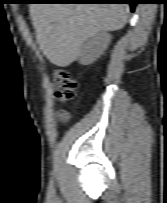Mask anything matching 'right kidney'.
I'll return each mask as SVG.
<instances>
[{
	"label": "right kidney",
	"instance_id": "right-kidney-1",
	"mask_svg": "<svg viewBox=\"0 0 167 203\" xmlns=\"http://www.w3.org/2000/svg\"><path fill=\"white\" fill-rule=\"evenodd\" d=\"M111 36L106 32H101L92 37L82 48L79 61L83 65H88L96 61L107 49Z\"/></svg>",
	"mask_w": 167,
	"mask_h": 203
}]
</instances>
